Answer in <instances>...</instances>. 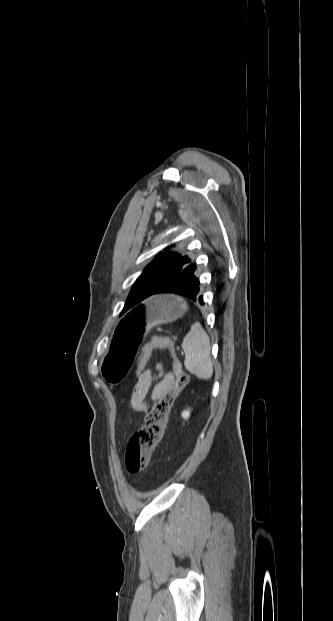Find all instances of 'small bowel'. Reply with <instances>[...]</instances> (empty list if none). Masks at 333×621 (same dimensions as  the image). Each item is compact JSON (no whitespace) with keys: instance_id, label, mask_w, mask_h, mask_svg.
<instances>
[{"instance_id":"1","label":"small bowel","mask_w":333,"mask_h":621,"mask_svg":"<svg viewBox=\"0 0 333 621\" xmlns=\"http://www.w3.org/2000/svg\"><path fill=\"white\" fill-rule=\"evenodd\" d=\"M173 385L172 373L165 372L161 363L155 369L143 372L132 394V406L134 409L146 413L148 411L147 396L151 394L152 400L160 399Z\"/></svg>"}]
</instances>
